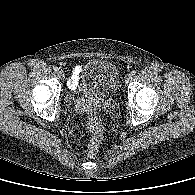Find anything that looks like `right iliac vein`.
Masks as SVG:
<instances>
[{
    "instance_id": "63e3f726",
    "label": "right iliac vein",
    "mask_w": 195,
    "mask_h": 195,
    "mask_svg": "<svg viewBox=\"0 0 195 195\" xmlns=\"http://www.w3.org/2000/svg\"><path fill=\"white\" fill-rule=\"evenodd\" d=\"M57 75H58V77L60 78V79H63L65 76H64V73L62 72V71H59L58 73H57Z\"/></svg>"
}]
</instances>
